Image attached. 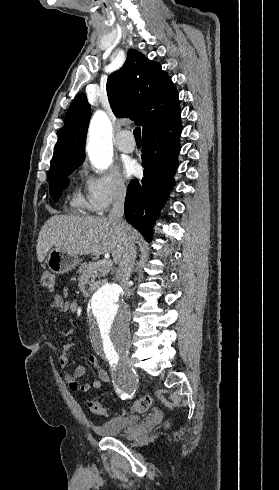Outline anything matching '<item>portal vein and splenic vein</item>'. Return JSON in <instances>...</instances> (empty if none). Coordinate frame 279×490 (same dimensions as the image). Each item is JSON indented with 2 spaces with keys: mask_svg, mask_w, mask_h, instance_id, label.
<instances>
[{
  "mask_svg": "<svg viewBox=\"0 0 279 490\" xmlns=\"http://www.w3.org/2000/svg\"><path fill=\"white\" fill-rule=\"evenodd\" d=\"M106 260H103V262H98V264H106L107 262V258H109V256H105ZM108 266H112V264H110V262H107Z\"/></svg>",
  "mask_w": 279,
  "mask_h": 490,
  "instance_id": "portal-vein-and-splenic-vein-1",
  "label": "portal vein and splenic vein"
}]
</instances>
